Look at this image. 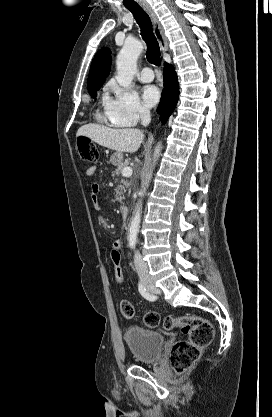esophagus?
Segmentation results:
<instances>
[{"instance_id":"1","label":"esophagus","mask_w":272,"mask_h":417,"mask_svg":"<svg viewBox=\"0 0 272 417\" xmlns=\"http://www.w3.org/2000/svg\"><path fill=\"white\" fill-rule=\"evenodd\" d=\"M141 6L144 9V11L149 15V17L152 21V24H153L154 34H155V36L158 40L160 49H161L162 53H165L168 50V42H167V39L164 35L162 25H161L157 15L153 11V9L150 7V5H148L147 3H142Z\"/></svg>"}]
</instances>
